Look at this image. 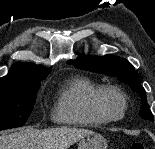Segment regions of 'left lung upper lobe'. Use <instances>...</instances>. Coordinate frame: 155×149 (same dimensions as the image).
I'll use <instances>...</instances> for the list:
<instances>
[{"label":"left lung upper lobe","mask_w":155,"mask_h":149,"mask_svg":"<svg viewBox=\"0 0 155 149\" xmlns=\"http://www.w3.org/2000/svg\"><path fill=\"white\" fill-rule=\"evenodd\" d=\"M67 63L73 64L79 69L115 76L118 80L128 84L133 91L141 96L142 106L139 112L140 117L151 121L154 120L138 72L126 59L112 55L103 57L85 56L79 57L74 61L70 60Z\"/></svg>","instance_id":"1"}]
</instances>
